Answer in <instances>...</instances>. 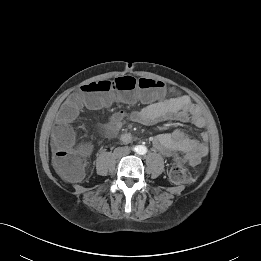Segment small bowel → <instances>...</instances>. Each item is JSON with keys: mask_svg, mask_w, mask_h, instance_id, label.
<instances>
[{"mask_svg": "<svg viewBox=\"0 0 261 261\" xmlns=\"http://www.w3.org/2000/svg\"><path fill=\"white\" fill-rule=\"evenodd\" d=\"M106 98L108 99L106 105H108L114 96ZM167 120L191 123L200 129H205L207 126V121L197 104L188 96L174 94L171 97L147 103L139 110L118 111L111 114L105 124V130L110 135H116L127 122L152 126ZM153 144L167 156H176L179 152H183L190 164L197 165L208 153L209 134L203 130L199 137L195 138L186 131L177 129L170 133L156 135L153 138ZM90 151V147L86 148V153Z\"/></svg>", "mask_w": 261, "mask_h": 261, "instance_id": "c3829d8e", "label": "small bowel"}]
</instances>
